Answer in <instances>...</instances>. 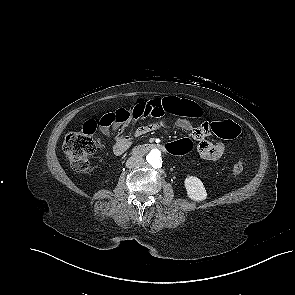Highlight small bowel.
I'll use <instances>...</instances> for the list:
<instances>
[{"label":"small bowel","mask_w":295,"mask_h":295,"mask_svg":"<svg viewBox=\"0 0 295 295\" xmlns=\"http://www.w3.org/2000/svg\"><path fill=\"white\" fill-rule=\"evenodd\" d=\"M176 100L179 99L175 97L139 99L130 105L120 107L103 115L100 118V130L104 135L114 137L113 153L122 155L130 148L133 138L142 137L158 130L160 127H169V120L161 118L165 114H176L173 109ZM147 117L153 120L138 126L132 134L124 132L127 124ZM175 125L189 132L190 136L199 142L197 151L203 160L216 161L223 155L225 148L222 143H213L207 140L211 134L210 123L204 122L199 126H195L187 119L179 116L175 121Z\"/></svg>","instance_id":"1"}]
</instances>
